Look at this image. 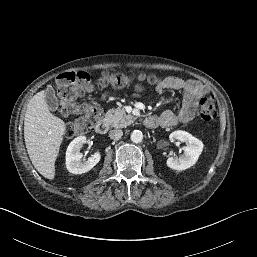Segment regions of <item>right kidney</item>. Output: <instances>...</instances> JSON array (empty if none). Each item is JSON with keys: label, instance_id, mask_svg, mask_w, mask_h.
I'll list each match as a JSON object with an SVG mask.
<instances>
[{"label": "right kidney", "instance_id": "ca27d5eb", "mask_svg": "<svg viewBox=\"0 0 257 257\" xmlns=\"http://www.w3.org/2000/svg\"><path fill=\"white\" fill-rule=\"evenodd\" d=\"M86 143L85 136L75 138L68 146L66 151V168L74 174H82L90 171L101 159L99 151L95 152L86 161L82 162L80 149Z\"/></svg>", "mask_w": 257, "mask_h": 257}]
</instances>
